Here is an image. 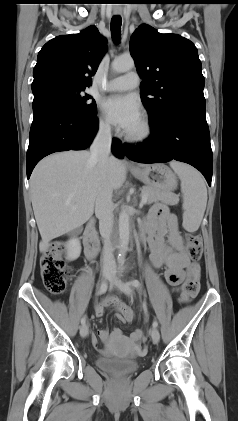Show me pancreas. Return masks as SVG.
<instances>
[{
  "mask_svg": "<svg viewBox=\"0 0 238 421\" xmlns=\"http://www.w3.org/2000/svg\"><path fill=\"white\" fill-rule=\"evenodd\" d=\"M146 194L147 195V203L152 204L154 202H164L166 204L174 205L176 202H174L175 197L170 194L169 192L162 191L157 188L153 187H143L142 188V196Z\"/></svg>",
  "mask_w": 238,
  "mask_h": 421,
  "instance_id": "1",
  "label": "pancreas"
}]
</instances>
